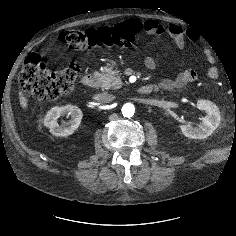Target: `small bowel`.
<instances>
[{
	"mask_svg": "<svg viewBox=\"0 0 236 236\" xmlns=\"http://www.w3.org/2000/svg\"><path fill=\"white\" fill-rule=\"evenodd\" d=\"M145 31L154 36L167 35L169 36L180 49L185 47L186 36L194 39V35H188L187 31L176 24L164 25L156 20H147L143 24ZM206 59L209 63L214 62V57L209 51H205ZM145 63L148 67L153 68L156 65V59L152 56L146 58ZM207 76L210 79L218 77V71L214 66H210L207 71ZM197 79V74L193 70H185L179 73L174 79H164L160 81L154 88L156 90L169 91L177 88H182Z\"/></svg>",
	"mask_w": 236,
	"mask_h": 236,
	"instance_id": "small-bowel-1",
	"label": "small bowel"
}]
</instances>
